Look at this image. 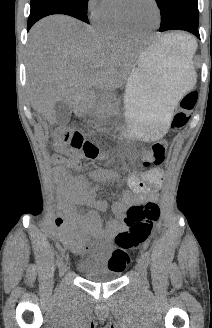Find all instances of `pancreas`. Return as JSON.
I'll return each mask as SVG.
<instances>
[{"mask_svg":"<svg viewBox=\"0 0 212 328\" xmlns=\"http://www.w3.org/2000/svg\"><path fill=\"white\" fill-rule=\"evenodd\" d=\"M101 105H102L103 109H112L114 104L112 103L111 96L104 95L102 97ZM88 109H89V113L92 114V115L97 116L100 113V110L96 107V105L94 103H89L88 104Z\"/></svg>","mask_w":212,"mask_h":328,"instance_id":"cf45deb5","label":"pancreas"}]
</instances>
